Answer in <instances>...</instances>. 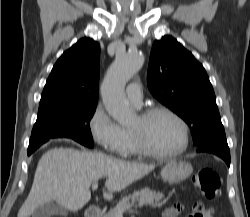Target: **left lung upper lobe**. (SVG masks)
Returning <instances> with one entry per match:
<instances>
[{"label": "left lung upper lobe", "mask_w": 250, "mask_h": 217, "mask_svg": "<svg viewBox=\"0 0 250 217\" xmlns=\"http://www.w3.org/2000/svg\"><path fill=\"white\" fill-rule=\"evenodd\" d=\"M148 87L155 98L189 125L194 145L225 133L205 69L171 36L153 43Z\"/></svg>", "instance_id": "5c2ea615"}]
</instances>
